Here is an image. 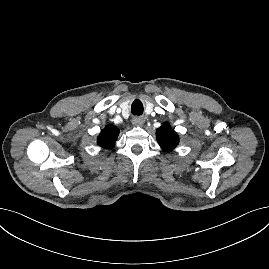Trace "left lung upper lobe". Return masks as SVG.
Returning <instances> with one entry per match:
<instances>
[{"mask_svg":"<svg viewBox=\"0 0 269 269\" xmlns=\"http://www.w3.org/2000/svg\"><path fill=\"white\" fill-rule=\"evenodd\" d=\"M158 144L165 151L173 150L179 142L178 134L165 122L156 130Z\"/></svg>","mask_w":269,"mask_h":269,"instance_id":"left-lung-upper-lobe-1","label":"left lung upper lobe"}]
</instances>
